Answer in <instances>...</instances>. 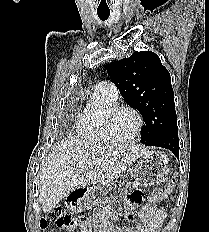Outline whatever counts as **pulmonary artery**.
<instances>
[{"label": "pulmonary artery", "instance_id": "e3ab8cb5", "mask_svg": "<svg viewBox=\"0 0 209 232\" xmlns=\"http://www.w3.org/2000/svg\"><path fill=\"white\" fill-rule=\"evenodd\" d=\"M95 89L102 91L113 101L118 99V89L115 84L110 81H103L99 83Z\"/></svg>", "mask_w": 209, "mask_h": 232}]
</instances>
